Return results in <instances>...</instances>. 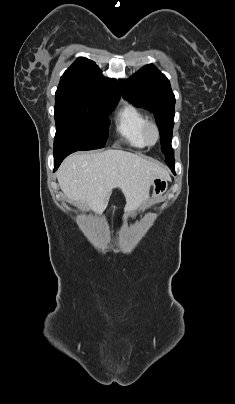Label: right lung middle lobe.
Wrapping results in <instances>:
<instances>
[{"label": "right lung middle lobe", "instance_id": "1", "mask_svg": "<svg viewBox=\"0 0 235 404\" xmlns=\"http://www.w3.org/2000/svg\"><path fill=\"white\" fill-rule=\"evenodd\" d=\"M116 104L55 95L54 152L102 148L110 124L107 115Z\"/></svg>", "mask_w": 235, "mask_h": 404}]
</instances>
